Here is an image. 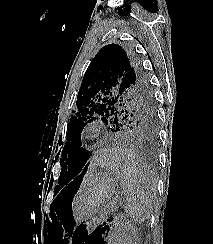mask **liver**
<instances>
[{
  "instance_id": "1",
  "label": "liver",
  "mask_w": 213,
  "mask_h": 244,
  "mask_svg": "<svg viewBox=\"0 0 213 244\" xmlns=\"http://www.w3.org/2000/svg\"><path fill=\"white\" fill-rule=\"evenodd\" d=\"M106 159H107V156H100V157H95L94 159H93V162H92V165H91V167L93 168V167H95L96 165H103L104 164V162L106 161Z\"/></svg>"
}]
</instances>
